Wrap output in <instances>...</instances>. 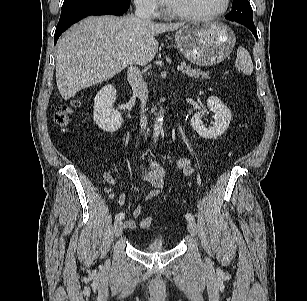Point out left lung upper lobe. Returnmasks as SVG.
<instances>
[{
    "instance_id": "left-lung-upper-lobe-1",
    "label": "left lung upper lobe",
    "mask_w": 307,
    "mask_h": 301,
    "mask_svg": "<svg viewBox=\"0 0 307 301\" xmlns=\"http://www.w3.org/2000/svg\"><path fill=\"white\" fill-rule=\"evenodd\" d=\"M253 11L248 0H233L232 10L225 17L231 21L253 23Z\"/></svg>"
}]
</instances>
